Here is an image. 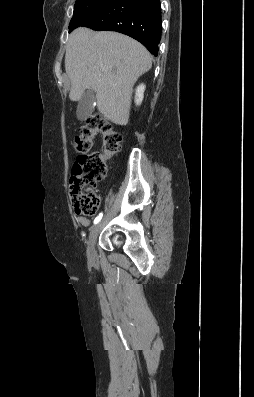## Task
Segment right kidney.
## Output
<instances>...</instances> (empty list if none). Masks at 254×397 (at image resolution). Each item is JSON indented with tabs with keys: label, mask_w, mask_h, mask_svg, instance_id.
<instances>
[{
	"label": "right kidney",
	"mask_w": 254,
	"mask_h": 397,
	"mask_svg": "<svg viewBox=\"0 0 254 397\" xmlns=\"http://www.w3.org/2000/svg\"><path fill=\"white\" fill-rule=\"evenodd\" d=\"M144 91H145V85L141 84L137 87L136 89V96H135V102L137 105H140L142 103L143 97H144Z\"/></svg>",
	"instance_id": "obj_1"
}]
</instances>
